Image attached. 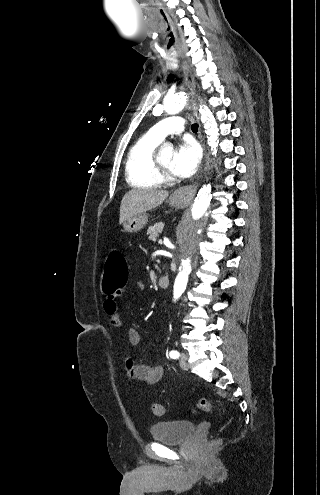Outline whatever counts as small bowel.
<instances>
[{"mask_svg":"<svg viewBox=\"0 0 320 495\" xmlns=\"http://www.w3.org/2000/svg\"><path fill=\"white\" fill-rule=\"evenodd\" d=\"M139 289H143L142 283H137ZM117 293H106V298L103 303L104 312L110 317L111 323L115 327L121 325V314L117 308L116 297ZM129 342L133 346H138L141 343V335L136 328H129L127 331ZM127 375L130 378L139 379L146 384H154L158 382L164 374V366L162 364H156L154 366L147 365L142 359L137 362L132 358L126 360Z\"/></svg>","mask_w":320,"mask_h":495,"instance_id":"c3829d8e","label":"small bowel"}]
</instances>
